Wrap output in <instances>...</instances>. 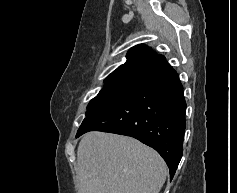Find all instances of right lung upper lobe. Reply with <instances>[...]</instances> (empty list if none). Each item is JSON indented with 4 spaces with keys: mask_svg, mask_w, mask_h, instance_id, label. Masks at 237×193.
I'll use <instances>...</instances> for the list:
<instances>
[{
    "mask_svg": "<svg viewBox=\"0 0 237 193\" xmlns=\"http://www.w3.org/2000/svg\"><path fill=\"white\" fill-rule=\"evenodd\" d=\"M161 55L154 53L145 45H137L127 54L126 62L113 71L108 77L120 75L130 71L146 70ZM107 77V78H108Z\"/></svg>",
    "mask_w": 237,
    "mask_h": 193,
    "instance_id": "obj_1",
    "label": "right lung upper lobe"
}]
</instances>
